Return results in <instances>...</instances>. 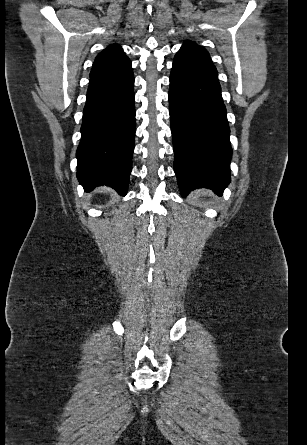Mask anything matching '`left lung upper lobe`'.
Listing matches in <instances>:
<instances>
[{"instance_id": "obj_1", "label": "left lung upper lobe", "mask_w": 307, "mask_h": 445, "mask_svg": "<svg viewBox=\"0 0 307 445\" xmlns=\"http://www.w3.org/2000/svg\"><path fill=\"white\" fill-rule=\"evenodd\" d=\"M176 55L197 64L214 76H217V70L211 61L209 53L194 42H185Z\"/></svg>"}]
</instances>
